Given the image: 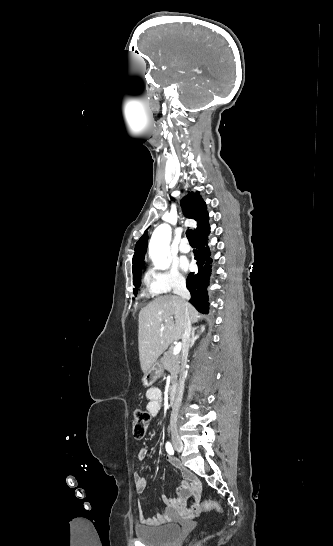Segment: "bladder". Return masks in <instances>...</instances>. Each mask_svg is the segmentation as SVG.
<instances>
[{
    "label": "bladder",
    "mask_w": 333,
    "mask_h": 546,
    "mask_svg": "<svg viewBox=\"0 0 333 546\" xmlns=\"http://www.w3.org/2000/svg\"><path fill=\"white\" fill-rule=\"evenodd\" d=\"M181 526L168 523L160 526H139L135 529L136 538L148 546H171L180 536Z\"/></svg>",
    "instance_id": "bladder-1"
}]
</instances>
